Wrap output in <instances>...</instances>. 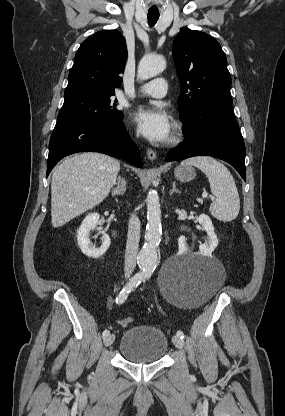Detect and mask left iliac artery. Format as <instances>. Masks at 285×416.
I'll use <instances>...</instances> for the list:
<instances>
[{
  "label": "left iliac artery",
  "mask_w": 285,
  "mask_h": 416,
  "mask_svg": "<svg viewBox=\"0 0 285 416\" xmlns=\"http://www.w3.org/2000/svg\"><path fill=\"white\" fill-rule=\"evenodd\" d=\"M148 277H149V275H145V278H148ZM176 335L178 337H180L181 339H184V333H183V331L178 330L177 333H176Z\"/></svg>",
  "instance_id": "obj_1"
}]
</instances>
